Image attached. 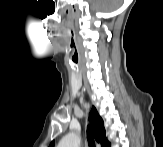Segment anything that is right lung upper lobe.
Returning <instances> with one entry per match:
<instances>
[{"instance_id":"1","label":"right lung upper lobe","mask_w":163,"mask_h":147,"mask_svg":"<svg viewBox=\"0 0 163 147\" xmlns=\"http://www.w3.org/2000/svg\"><path fill=\"white\" fill-rule=\"evenodd\" d=\"M95 140L105 147L108 144V141L105 138V128L102 118L99 116L95 107L92 108L89 115ZM51 147L54 146V141L50 144Z\"/></svg>"}]
</instances>
